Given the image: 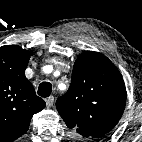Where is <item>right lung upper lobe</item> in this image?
Segmentation results:
<instances>
[{
	"instance_id": "obj_1",
	"label": "right lung upper lobe",
	"mask_w": 142,
	"mask_h": 142,
	"mask_svg": "<svg viewBox=\"0 0 142 142\" xmlns=\"http://www.w3.org/2000/svg\"><path fill=\"white\" fill-rule=\"evenodd\" d=\"M31 55L17 45L0 47V140L19 138L32 116L46 106L25 77Z\"/></svg>"
}]
</instances>
